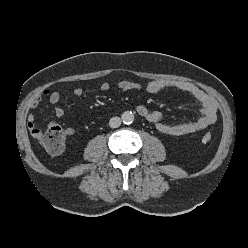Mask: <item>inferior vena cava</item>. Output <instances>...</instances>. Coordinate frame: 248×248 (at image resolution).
Here are the masks:
<instances>
[{"mask_svg":"<svg viewBox=\"0 0 248 248\" xmlns=\"http://www.w3.org/2000/svg\"><path fill=\"white\" fill-rule=\"evenodd\" d=\"M121 125V119L119 117H112L109 121L111 128H118Z\"/></svg>","mask_w":248,"mask_h":248,"instance_id":"obj_1","label":"inferior vena cava"}]
</instances>
